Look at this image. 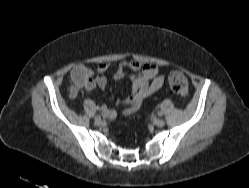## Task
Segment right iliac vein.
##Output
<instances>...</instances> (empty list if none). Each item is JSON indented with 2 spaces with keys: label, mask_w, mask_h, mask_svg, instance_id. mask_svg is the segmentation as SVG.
Wrapping results in <instances>:
<instances>
[{
  "label": "right iliac vein",
  "mask_w": 249,
  "mask_h": 188,
  "mask_svg": "<svg viewBox=\"0 0 249 188\" xmlns=\"http://www.w3.org/2000/svg\"><path fill=\"white\" fill-rule=\"evenodd\" d=\"M94 123H95V125L100 126V125H102L103 122L101 119H98V120H95Z\"/></svg>",
  "instance_id": "obj_1"
}]
</instances>
